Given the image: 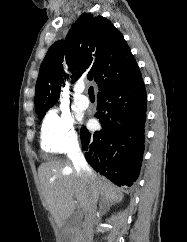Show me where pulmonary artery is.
Here are the masks:
<instances>
[{
    "mask_svg": "<svg viewBox=\"0 0 187 242\" xmlns=\"http://www.w3.org/2000/svg\"><path fill=\"white\" fill-rule=\"evenodd\" d=\"M84 86L83 85H76L75 87V104L79 108L85 109L89 106L88 98L83 94Z\"/></svg>",
    "mask_w": 187,
    "mask_h": 242,
    "instance_id": "e3ab8cb5",
    "label": "pulmonary artery"
}]
</instances>
